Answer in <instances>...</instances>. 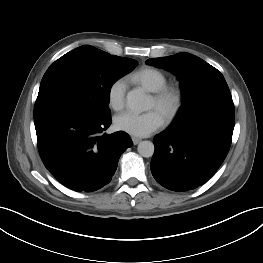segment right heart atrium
<instances>
[{
	"mask_svg": "<svg viewBox=\"0 0 263 263\" xmlns=\"http://www.w3.org/2000/svg\"><path fill=\"white\" fill-rule=\"evenodd\" d=\"M126 85L124 80H114L107 89V102L114 111H120L125 105Z\"/></svg>",
	"mask_w": 263,
	"mask_h": 263,
	"instance_id": "obj_1",
	"label": "right heart atrium"
}]
</instances>
